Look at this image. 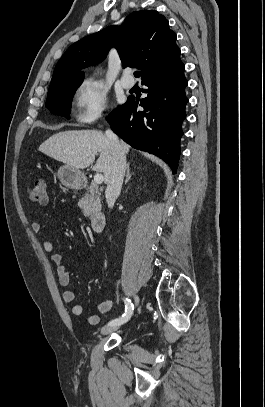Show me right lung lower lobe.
<instances>
[{"mask_svg":"<svg viewBox=\"0 0 265 407\" xmlns=\"http://www.w3.org/2000/svg\"><path fill=\"white\" fill-rule=\"evenodd\" d=\"M185 66L180 52L142 78L148 96L140 102L128 97L108 116L112 130L132 147L157 155L177 171L182 122L188 99ZM140 105L144 111H138Z\"/></svg>","mask_w":265,"mask_h":407,"instance_id":"1","label":"right lung lower lobe"}]
</instances>
